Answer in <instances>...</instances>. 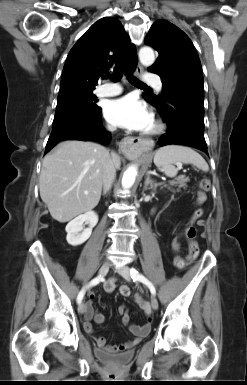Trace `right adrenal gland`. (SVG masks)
Segmentation results:
<instances>
[{
  "label": "right adrenal gland",
  "instance_id": "1",
  "mask_svg": "<svg viewBox=\"0 0 247 385\" xmlns=\"http://www.w3.org/2000/svg\"><path fill=\"white\" fill-rule=\"evenodd\" d=\"M105 194H106V191H104L102 195H105Z\"/></svg>",
  "mask_w": 247,
  "mask_h": 385
}]
</instances>
